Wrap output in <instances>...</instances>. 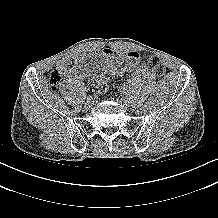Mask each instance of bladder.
Here are the masks:
<instances>
[{"label": "bladder", "instance_id": "1", "mask_svg": "<svg viewBox=\"0 0 218 218\" xmlns=\"http://www.w3.org/2000/svg\"><path fill=\"white\" fill-rule=\"evenodd\" d=\"M92 66L94 71L100 70L102 67V61L100 59H95L92 61Z\"/></svg>", "mask_w": 218, "mask_h": 218}]
</instances>
